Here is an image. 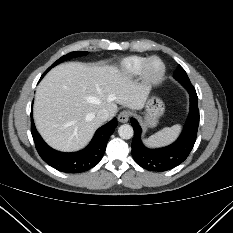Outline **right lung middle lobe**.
I'll use <instances>...</instances> for the list:
<instances>
[{
    "mask_svg": "<svg viewBox=\"0 0 233 233\" xmlns=\"http://www.w3.org/2000/svg\"><path fill=\"white\" fill-rule=\"evenodd\" d=\"M85 54H87V52L77 51V52H71V53H69V54H67V55L62 56V57H61L60 59H58L55 63H53V64L51 65V67H49V68L47 69V71L44 73V75H45L52 67L58 65V64L61 63L62 61L67 60V59H70V58H72V57L82 56V55H85Z\"/></svg>",
    "mask_w": 233,
    "mask_h": 233,
    "instance_id": "dd1d6c3e",
    "label": "right lung middle lobe"
}]
</instances>
